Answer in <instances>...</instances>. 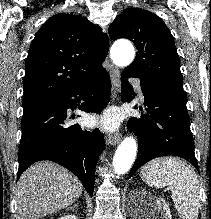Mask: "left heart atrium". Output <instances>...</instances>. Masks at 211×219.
<instances>
[{
  "instance_id": "1",
  "label": "left heart atrium",
  "mask_w": 211,
  "mask_h": 219,
  "mask_svg": "<svg viewBox=\"0 0 211 219\" xmlns=\"http://www.w3.org/2000/svg\"><path fill=\"white\" fill-rule=\"evenodd\" d=\"M100 124L108 129V130H112L114 129L117 124H118V120L115 116H113L112 114H106L104 115L101 119H100Z\"/></svg>"
}]
</instances>
